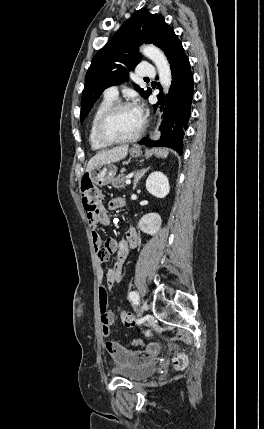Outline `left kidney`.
<instances>
[{"mask_svg":"<svg viewBox=\"0 0 264 429\" xmlns=\"http://www.w3.org/2000/svg\"><path fill=\"white\" fill-rule=\"evenodd\" d=\"M146 189L153 196L164 198L170 191L168 178L162 172H152L146 180ZM161 224L162 220L159 214L149 213L139 220L138 227L142 232L154 235L160 229Z\"/></svg>","mask_w":264,"mask_h":429,"instance_id":"1","label":"left kidney"}]
</instances>
